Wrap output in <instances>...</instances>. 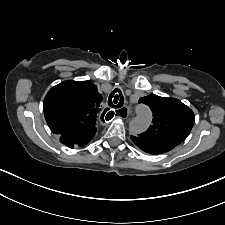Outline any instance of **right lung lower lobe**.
<instances>
[{"label": "right lung lower lobe", "instance_id": "obj_1", "mask_svg": "<svg viewBox=\"0 0 225 225\" xmlns=\"http://www.w3.org/2000/svg\"><path fill=\"white\" fill-rule=\"evenodd\" d=\"M60 142L69 148H74L75 146H84L87 144L93 137L91 136H73V135H58Z\"/></svg>", "mask_w": 225, "mask_h": 225}]
</instances>
